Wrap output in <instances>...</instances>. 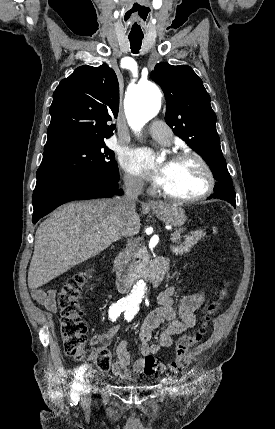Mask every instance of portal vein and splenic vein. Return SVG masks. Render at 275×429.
Segmentation results:
<instances>
[{
    "label": "portal vein and splenic vein",
    "instance_id": "portal-vein-and-splenic-vein-1",
    "mask_svg": "<svg viewBox=\"0 0 275 429\" xmlns=\"http://www.w3.org/2000/svg\"><path fill=\"white\" fill-rule=\"evenodd\" d=\"M177 238H180V233H176V234H174V235L172 236L171 240L175 242V241L177 240Z\"/></svg>",
    "mask_w": 275,
    "mask_h": 429
}]
</instances>
